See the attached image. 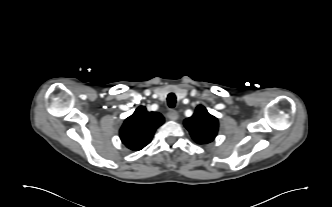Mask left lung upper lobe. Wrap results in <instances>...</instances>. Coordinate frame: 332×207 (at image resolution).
I'll list each match as a JSON object with an SVG mask.
<instances>
[{"mask_svg": "<svg viewBox=\"0 0 332 207\" xmlns=\"http://www.w3.org/2000/svg\"><path fill=\"white\" fill-rule=\"evenodd\" d=\"M191 137L198 144H207L214 140L218 132V119L208 113L202 105L197 106L195 113L184 121Z\"/></svg>", "mask_w": 332, "mask_h": 207, "instance_id": "1", "label": "left lung upper lobe"}]
</instances>
